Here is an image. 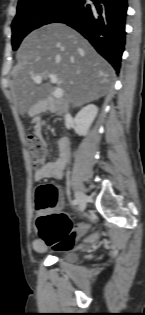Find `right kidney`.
I'll list each match as a JSON object with an SVG mask.
<instances>
[{"instance_id":"ca27d5eb","label":"right kidney","mask_w":145,"mask_h":315,"mask_svg":"<svg viewBox=\"0 0 145 315\" xmlns=\"http://www.w3.org/2000/svg\"><path fill=\"white\" fill-rule=\"evenodd\" d=\"M98 107L94 104H89L83 107L75 116L74 122L79 133L86 136L88 130L96 118Z\"/></svg>"}]
</instances>
